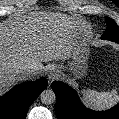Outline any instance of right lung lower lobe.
Here are the masks:
<instances>
[{"label":"right lung lower lobe","instance_id":"98d812e1","mask_svg":"<svg viewBox=\"0 0 119 119\" xmlns=\"http://www.w3.org/2000/svg\"><path fill=\"white\" fill-rule=\"evenodd\" d=\"M47 87V80L26 82L12 88L0 98V119H26L29 106Z\"/></svg>","mask_w":119,"mask_h":119}]
</instances>
